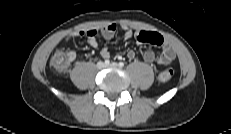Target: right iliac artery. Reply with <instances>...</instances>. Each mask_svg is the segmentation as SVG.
<instances>
[{
    "label": "right iliac artery",
    "mask_w": 231,
    "mask_h": 134,
    "mask_svg": "<svg viewBox=\"0 0 231 134\" xmlns=\"http://www.w3.org/2000/svg\"><path fill=\"white\" fill-rule=\"evenodd\" d=\"M104 63H105L106 65H109V64H110V61H109L108 59H106V60L104 61Z\"/></svg>",
    "instance_id": "1"
}]
</instances>
